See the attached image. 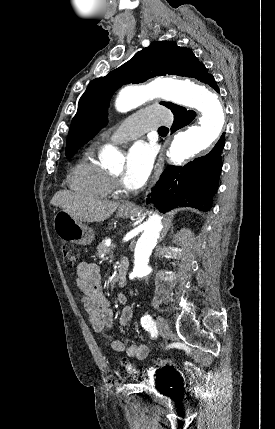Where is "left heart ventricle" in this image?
Listing matches in <instances>:
<instances>
[{
	"mask_svg": "<svg viewBox=\"0 0 275 429\" xmlns=\"http://www.w3.org/2000/svg\"><path fill=\"white\" fill-rule=\"evenodd\" d=\"M123 171H124L123 166H120L113 171V175L116 177H120L123 174Z\"/></svg>",
	"mask_w": 275,
	"mask_h": 429,
	"instance_id": "left-heart-ventricle-1",
	"label": "left heart ventricle"
}]
</instances>
